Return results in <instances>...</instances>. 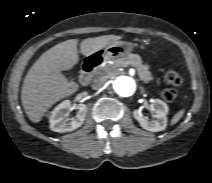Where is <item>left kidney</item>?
Wrapping results in <instances>:
<instances>
[{
	"instance_id": "5707ae66",
	"label": "left kidney",
	"mask_w": 212,
	"mask_h": 183,
	"mask_svg": "<svg viewBox=\"0 0 212 183\" xmlns=\"http://www.w3.org/2000/svg\"><path fill=\"white\" fill-rule=\"evenodd\" d=\"M151 107L155 112V120L149 121L142 116L138 110L133 111L134 118L139 122L140 126L148 131L159 132L167 126V113L169 108L165 102L160 99L153 100Z\"/></svg>"
}]
</instances>
